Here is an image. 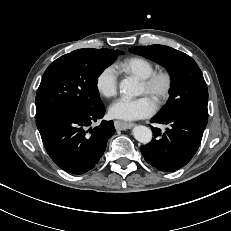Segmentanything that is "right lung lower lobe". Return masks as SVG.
I'll return each mask as SVG.
<instances>
[{
	"instance_id": "right-lung-lower-lobe-1",
	"label": "right lung lower lobe",
	"mask_w": 231,
	"mask_h": 231,
	"mask_svg": "<svg viewBox=\"0 0 231 231\" xmlns=\"http://www.w3.org/2000/svg\"><path fill=\"white\" fill-rule=\"evenodd\" d=\"M104 106L87 113L59 111L36 119L44 147L58 167L71 174L92 169L103 155L107 140L115 133L113 121H102Z\"/></svg>"
}]
</instances>
